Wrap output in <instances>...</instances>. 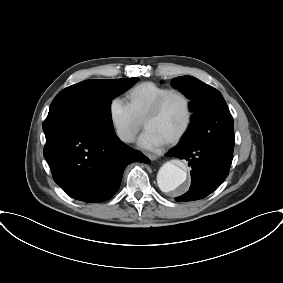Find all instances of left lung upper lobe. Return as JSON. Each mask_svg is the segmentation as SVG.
I'll return each instance as SVG.
<instances>
[{
    "label": "left lung upper lobe",
    "mask_w": 283,
    "mask_h": 283,
    "mask_svg": "<svg viewBox=\"0 0 283 283\" xmlns=\"http://www.w3.org/2000/svg\"><path fill=\"white\" fill-rule=\"evenodd\" d=\"M172 85L191 99V124L203 123V138L208 145L233 149L235 143L233 118L222 94L191 76L174 78Z\"/></svg>",
    "instance_id": "left-lung-upper-lobe-1"
}]
</instances>
